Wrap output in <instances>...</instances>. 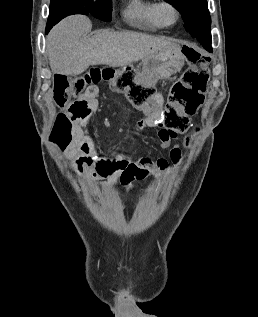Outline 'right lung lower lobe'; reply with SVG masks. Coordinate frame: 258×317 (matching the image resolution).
<instances>
[{
  "label": "right lung lower lobe",
  "mask_w": 258,
  "mask_h": 317,
  "mask_svg": "<svg viewBox=\"0 0 258 317\" xmlns=\"http://www.w3.org/2000/svg\"><path fill=\"white\" fill-rule=\"evenodd\" d=\"M72 14H92L96 17L95 9L84 0H58L51 2L50 14L46 25V33L61 19Z\"/></svg>",
  "instance_id": "98d812e1"
}]
</instances>
